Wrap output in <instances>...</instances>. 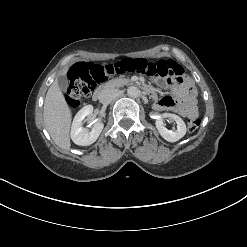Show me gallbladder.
<instances>
[{
    "mask_svg": "<svg viewBox=\"0 0 247 247\" xmlns=\"http://www.w3.org/2000/svg\"><path fill=\"white\" fill-rule=\"evenodd\" d=\"M58 82V86L60 88L61 91H66L67 87H68V80L65 76H59L57 79Z\"/></svg>",
    "mask_w": 247,
    "mask_h": 247,
    "instance_id": "bac80fb5",
    "label": "gallbladder"
}]
</instances>
